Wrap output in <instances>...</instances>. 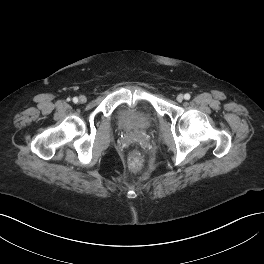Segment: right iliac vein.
Instances as JSON below:
<instances>
[{
	"label": "right iliac vein",
	"mask_w": 264,
	"mask_h": 264,
	"mask_svg": "<svg viewBox=\"0 0 264 264\" xmlns=\"http://www.w3.org/2000/svg\"><path fill=\"white\" fill-rule=\"evenodd\" d=\"M87 101V98H86V96H84V95H81L80 97H79V102L80 103H85Z\"/></svg>",
	"instance_id": "1"
}]
</instances>
